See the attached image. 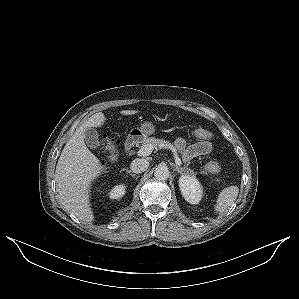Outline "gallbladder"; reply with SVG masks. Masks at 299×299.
<instances>
[{
	"mask_svg": "<svg viewBox=\"0 0 299 299\" xmlns=\"http://www.w3.org/2000/svg\"><path fill=\"white\" fill-rule=\"evenodd\" d=\"M84 138L89 148L95 150L99 147L98 133L94 128L88 127L84 132Z\"/></svg>",
	"mask_w": 299,
	"mask_h": 299,
	"instance_id": "obj_1",
	"label": "gallbladder"
}]
</instances>
